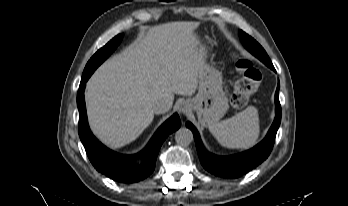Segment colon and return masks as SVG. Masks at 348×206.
Instances as JSON below:
<instances>
[{
    "label": "colon",
    "mask_w": 348,
    "mask_h": 206,
    "mask_svg": "<svg viewBox=\"0 0 348 206\" xmlns=\"http://www.w3.org/2000/svg\"><path fill=\"white\" fill-rule=\"evenodd\" d=\"M237 65L241 78L235 86L233 102L237 106H244L261 86L262 75L253 62L246 58H239Z\"/></svg>",
    "instance_id": "obj_1"
}]
</instances>
